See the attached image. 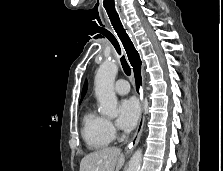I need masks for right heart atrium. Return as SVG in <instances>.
<instances>
[{
	"label": "right heart atrium",
	"instance_id": "obj_1",
	"mask_svg": "<svg viewBox=\"0 0 223 171\" xmlns=\"http://www.w3.org/2000/svg\"><path fill=\"white\" fill-rule=\"evenodd\" d=\"M107 126H108V130L111 133V135L114 136L115 133H116V131H115V128H114L112 122H110L109 120H107Z\"/></svg>",
	"mask_w": 223,
	"mask_h": 171
}]
</instances>
